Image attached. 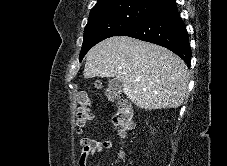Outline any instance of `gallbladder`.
<instances>
[{"instance_id": "1", "label": "gallbladder", "mask_w": 227, "mask_h": 166, "mask_svg": "<svg viewBox=\"0 0 227 166\" xmlns=\"http://www.w3.org/2000/svg\"><path fill=\"white\" fill-rule=\"evenodd\" d=\"M122 88L123 84L119 79L117 78L110 79L108 81V87L106 90V95L108 99L112 101L114 98H116V96H118L121 93Z\"/></svg>"}]
</instances>
